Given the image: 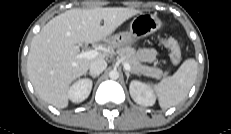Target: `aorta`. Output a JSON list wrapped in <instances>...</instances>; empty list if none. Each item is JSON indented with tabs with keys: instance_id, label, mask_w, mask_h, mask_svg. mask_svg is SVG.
<instances>
[{
	"instance_id": "aorta-1",
	"label": "aorta",
	"mask_w": 231,
	"mask_h": 134,
	"mask_svg": "<svg viewBox=\"0 0 231 134\" xmlns=\"http://www.w3.org/2000/svg\"><path fill=\"white\" fill-rule=\"evenodd\" d=\"M109 77L113 80H116L119 78V72L117 70H112L109 72Z\"/></svg>"
}]
</instances>
